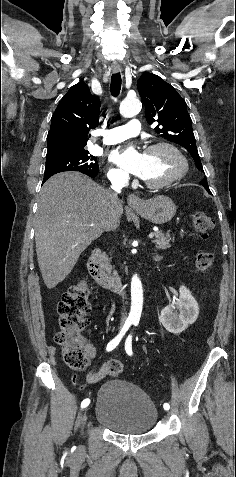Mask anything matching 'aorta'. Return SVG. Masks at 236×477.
Masks as SVG:
<instances>
[{"label":"aorta","instance_id":"762f6f07","mask_svg":"<svg viewBox=\"0 0 236 477\" xmlns=\"http://www.w3.org/2000/svg\"><path fill=\"white\" fill-rule=\"evenodd\" d=\"M141 102L137 98H126L120 104V114L123 117H133L141 110ZM143 306V288L137 275L131 280V310L129 317L133 320H139Z\"/></svg>","mask_w":236,"mask_h":477}]
</instances>
